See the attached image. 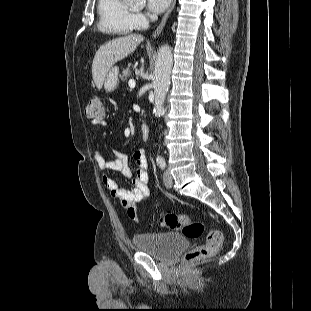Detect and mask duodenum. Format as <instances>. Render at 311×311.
<instances>
[{
  "mask_svg": "<svg viewBox=\"0 0 311 311\" xmlns=\"http://www.w3.org/2000/svg\"><path fill=\"white\" fill-rule=\"evenodd\" d=\"M141 137L144 141H147L150 137V128L147 124L141 125Z\"/></svg>",
  "mask_w": 311,
  "mask_h": 311,
  "instance_id": "1",
  "label": "duodenum"
}]
</instances>
